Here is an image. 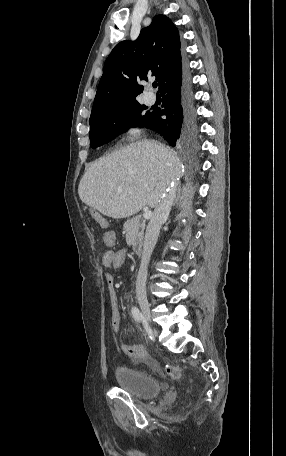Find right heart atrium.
<instances>
[{
  "label": "right heart atrium",
  "instance_id": "1",
  "mask_svg": "<svg viewBox=\"0 0 286 456\" xmlns=\"http://www.w3.org/2000/svg\"><path fill=\"white\" fill-rule=\"evenodd\" d=\"M141 133V124L136 121H129L123 126L121 136L125 141H132L137 139Z\"/></svg>",
  "mask_w": 286,
  "mask_h": 456
}]
</instances>
